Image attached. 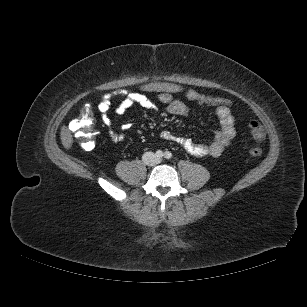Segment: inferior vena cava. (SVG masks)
<instances>
[{
	"label": "inferior vena cava",
	"instance_id": "1",
	"mask_svg": "<svg viewBox=\"0 0 307 307\" xmlns=\"http://www.w3.org/2000/svg\"><path fill=\"white\" fill-rule=\"evenodd\" d=\"M142 161L149 166L155 165L158 163V158L153 152H145L142 155Z\"/></svg>",
	"mask_w": 307,
	"mask_h": 307
}]
</instances>
